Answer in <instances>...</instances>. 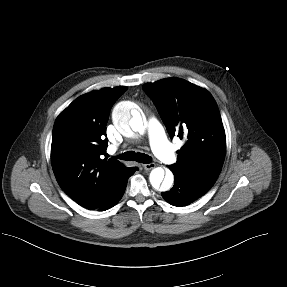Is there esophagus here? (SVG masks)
<instances>
[{"label": "esophagus", "mask_w": 287, "mask_h": 287, "mask_svg": "<svg viewBox=\"0 0 287 287\" xmlns=\"http://www.w3.org/2000/svg\"><path fill=\"white\" fill-rule=\"evenodd\" d=\"M156 167V165L154 163H148V164H143V168L146 170V171H149L151 169H154Z\"/></svg>", "instance_id": "34e87169"}]
</instances>
